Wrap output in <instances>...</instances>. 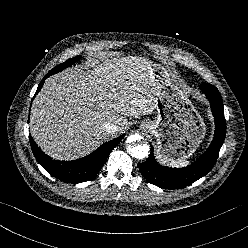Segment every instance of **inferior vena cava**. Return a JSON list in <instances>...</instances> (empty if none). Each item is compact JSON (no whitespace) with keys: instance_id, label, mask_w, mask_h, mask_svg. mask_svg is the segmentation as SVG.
Listing matches in <instances>:
<instances>
[{"instance_id":"602c4592","label":"inferior vena cava","mask_w":248,"mask_h":248,"mask_svg":"<svg viewBox=\"0 0 248 248\" xmlns=\"http://www.w3.org/2000/svg\"><path fill=\"white\" fill-rule=\"evenodd\" d=\"M103 129L110 134H114L118 130V127L114 123H106Z\"/></svg>"}]
</instances>
